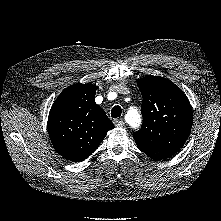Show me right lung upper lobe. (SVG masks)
Instances as JSON below:
<instances>
[{
    "instance_id": "1",
    "label": "right lung upper lobe",
    "mask_w": 221,
    "mask_h": 221,
    "mask_svg": "<svg viewBox=\"0 0 221 221\" xmlns=\"http://www.w3.org/2000/svg\"><path fill=\"white\" fill-rule=\"evenodd\" d=\"M97 86L74 84L64 89L51 107L48 133L62 157L83 161L114 128L104 110L95 103Z\"/></svg>"
}]
</instances>
